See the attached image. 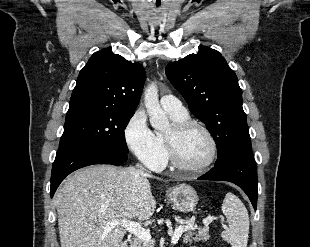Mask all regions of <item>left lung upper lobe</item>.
Listing matches in <instances>:
<instances>
[{
	"mask_svg": "<svg viewBox=\"0 0 310 247\" xmlns=\"http://www.w3.org/2000/svg\"><path fill=\"white\" fill-rule=\"evenodd\" d=\"M165 72L191 113L207 125L218 149L216 163L251 147L242 90L218 51L201 47L197 54L169 63Z\"/></svg>",
	"mask_w": 310,
	"mask_h": 247,
	"instance_id": "5c2ea615",
	"label": "left lung upper lobe"
}]
</instances>
